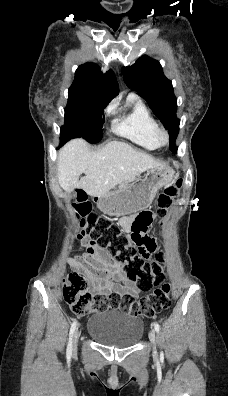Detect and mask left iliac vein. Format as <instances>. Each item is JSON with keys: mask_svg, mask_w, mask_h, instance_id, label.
Instances as JSON below:
<instances>
[{"mask_svg": "<svg viewBox=\"0 0 228 396\" xmlns=\"http://www.w3.org/2000/svg\"><path fill=\"white\" fill-rule=\"evenodd\" d=\"M149 340L152 343V345L154 346L156 343V335H155V331L154 329H152L149 333Z\"/></svg>", "mask_w": 228, "mask_h": 396, "instance_id": "obj_1", "label": "left iliac vein"}]
</instances>
